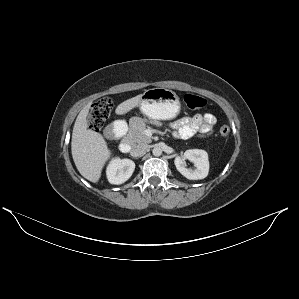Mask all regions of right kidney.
<instances>
[{
	"label": "right kidney",
	"mask_w": 299,
	"mask_h": 299,
	"mask_svg": "<svg viewBox=\"0 0 299 299\" xmlns=\"http://www.w3.org/2000/svg\"><path fill=\"white\" fill-rule=\"evenodd\" d=\"M135 163L130 159H113L107 167L106 174L111 184H122L133 174Z\"/></svg>",
	"instance_id": "right-kidney-1"
}]
</instances>
